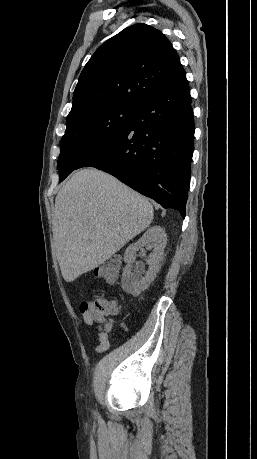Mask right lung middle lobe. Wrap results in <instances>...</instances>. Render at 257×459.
<instances>
[{
  "instance_id": "right-lung-middle-lobe-1",
  "label": "right lung middle lobe",
  "mask_w": 257,
  "mask_h": 459,
  "mask_svg": "<svg viewBox=\"0 0 257 459\" xmlns=\"http://www.w3.org/2000/svg\"><path fill=\"white\" fill-rule=\"evenodd\" d=\"M135 110L136 107H107L66 124L57 164L60 182L116 139L128 127Z\"/></svg>"
}]
</instances>
